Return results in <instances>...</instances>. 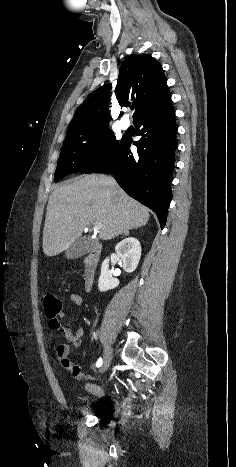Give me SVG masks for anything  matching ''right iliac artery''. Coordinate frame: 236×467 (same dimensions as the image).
Here are the masks:
<instances>
[{
    "instance_id": "obj_1",
    "label": "right iliac artery",
    "mask_w": 236,
    "mask_h": 467,
    "mask_svg": "<svg viewBox=\"0 0 236 467\" xmlns=\"http://www.w3.org/2000/svg\"><path fill=\"white\" fill-rule=\"evenodd\" d=\"M94 336H95V333H94ZM102 362H103L102 358H99L97 363H96V366L100 367L102 365Z\"/></svg>"
}]
</instances>
